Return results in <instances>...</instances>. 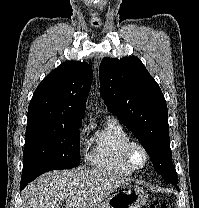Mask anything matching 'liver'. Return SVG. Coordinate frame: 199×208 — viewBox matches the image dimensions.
Here are the masks:
<instances>
[{
    "instance_id": "6515ba94",
    "label": "liver",
    "mask_w": 199,
    "mask_h": 208,
    "mask_svg": "<svg viewBox=\"0 0 199 208\" xmlns=\"http://www.w3.org/2000/svg\"><path fill=\"white\" fill-rule=\"evenodd\" d=\"M103 169L51 171L34 180L22 191V208H95L118 187L129 185Z\"/></svg>"
}]
</instances>
